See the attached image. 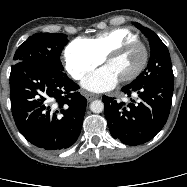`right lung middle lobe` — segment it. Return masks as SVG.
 I'll use <instances>...</instances> for the list:
<instances>
[{"label":"right lung middle lobe","instance_id":"right-lung-middle-lobe-1","mask_svg":"<svg viewBox=\"0 0 187 187\" xmlns=\"http://www.w3.org/2000/svg\"><path fill=\"white\" fill-rule=\"evenodd\" d=\"M67 42V36L62 33H36L19 46L14 60L16 63L34 62L64 70L60 54Z\"/></svg>","mask_w":187,"mask_h":187}]
</instances>
